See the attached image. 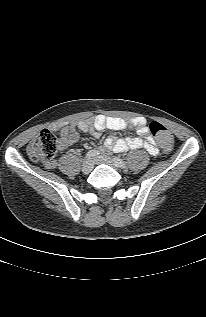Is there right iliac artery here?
Instances as JSON below:
<instances>
[{
	"instance_id": "82829eb1",
	"label": "right iliac artery",
	"mask_w": 206,
	"mask_h": 317,
	"mask_svg": "<svg viewBox=\"0 0 206 317\" xmlns=\"http://www.w3.org/2000/svg\"><path fill=\"white\" fill-rule=\"evenodd\" d=\"M100 153L98 150H90L87 152L86 154V158L89 160V159H93L95 158L96 156H98Z\"/></svg>"
}]
</instances>
